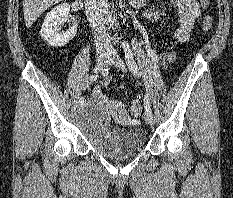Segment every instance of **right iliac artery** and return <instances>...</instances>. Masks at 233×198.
Wrapping results in <instances>:
<instances>
[{"instance_id": "obj_1", "label": "right iliac artery", "mask_w": 233, "mask_h": 198, "mask_svg": "<svg viewBox=\"0 0 233 198\" xmlns=\"http://www.w3.org/2000/svg\"><path fill=\"white\" fill-rule=\"evenodd\" d=\"M116 56H118V55L115 54V55L113 56V58H111L110 65L113 64V63L115 62ZM109 69H110V67H109V66H106V67L103 69V71H102V75L108 74ZM95 71H96V74L91 75V76L88 78L87 83H92V82L96 81V80L99 78V74L97 73V69H95ZM79 103H80V104H83V103H84V97H80V98H79Z\"/></svg>"}]
</instances>
